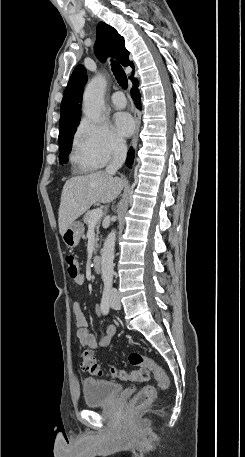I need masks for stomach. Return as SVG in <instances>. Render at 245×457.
<instances>
[{"instance_id":"stomach-1","label":"stomach","mask_w":245,"mask_h":457,"mask_svg":"<svg viewBox=\"0 0 245 457\" xmlns=\"http://www.w3.org/2000/svg\"><path fill=\"white\" fill-rule=\"evenodd\" d=\"M84 233V224L79 220H74L69 224L68 229L62 235V241L67 245L68 249L77 247L82 235Z\"/></svg>"}]
</instances>
